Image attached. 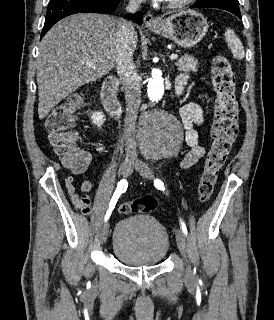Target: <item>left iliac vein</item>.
I'll return each mask as SVG.
<instances>
[{"mask_svg": "<svg viewBox=\"0 0 274 320\" xmlns=\"http://www.w3.org/2000/svg\"><path fill=\"white\" fill-rule=\"evenodd\" d=\"M135 169L138 171V173L142 177H144L146 179H153L154 178V173H153L152 169L142 161H136ZM176 241H177V245H178L180 252L183 254L184 257H186V254H187L186 238H185L183 231L180 228H178L176 230ZM185 276L188 280H190L192 278V270L189 266L186 267Z\"/></svg>", "mask_w": 274, "mask_h": 320, "instance_id": "4c4485c4", "label": "left iliac vein"}]
</instances>
